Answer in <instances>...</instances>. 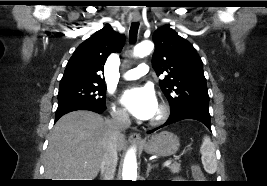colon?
<instances>
[{
	"instance_id": "5ec220e1",
	"label": "colon",
	"mask_w": 267,
	"mask_h": 186,
	"mask_svg": "<svg viewBox=\"0 0 267 186\" xmlns=\"http://www.w3.org/2000/svg\"><path fill=\"white\" fill-rule=\"evenodd\" d=\"M193 171H194L195 173H200V169H199V167H198L197 165H195V166L193 167Z\"/></svg>"
}]
</instances>
